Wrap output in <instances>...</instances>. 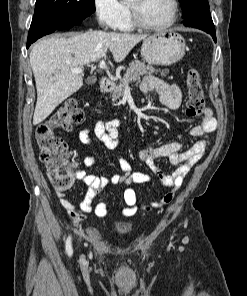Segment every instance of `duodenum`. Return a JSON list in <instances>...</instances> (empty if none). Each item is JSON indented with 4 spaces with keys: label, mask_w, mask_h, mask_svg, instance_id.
Here are the masks:
<instances>
[{
    "label": "duodenum",
    "mask_w": 247,
    "mask_h": 296,
    "mask_svg": "<svg viewBox=\"0 0 247 296\" xmlns=\"http://www.w3.org/2000/svg\"><path fill=\"white\" fill-rule=\"evenodd\" d=\"M100 87L102 92H109L113 87V83L108 79H102Z\"/></svg>",
    "instance_id": "410a0bca"
}]
</instances>
